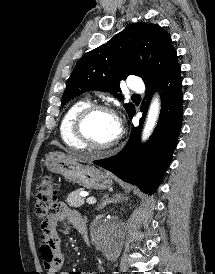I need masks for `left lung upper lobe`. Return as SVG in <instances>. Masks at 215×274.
<instances>
[{
	"label": "left lung upper lobe",
	"mask_w": 215,
	"mask_h": 274,
	"mask_svg": "<svg viewBox=\"0 0 215 274\" xmlns=\"http://www.w3.org/2000/svg\"><path fill=\"white\" fill-rule=\"evenodd\" d=\"M146 59L140 62L138 55ZM179 66L170 35L158 24L144 22L127 26L107 43L86 53L76 64L63 94L62 106L71 98L91 90L113 93L123 99L120 81L136 75L145 84L160 80ZM128 115L132 103L124 105Z\"/></svg>",
	"instance_id": "obj_1"
}]
</instances>
